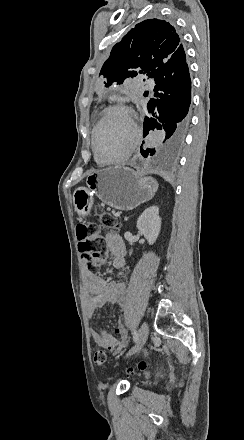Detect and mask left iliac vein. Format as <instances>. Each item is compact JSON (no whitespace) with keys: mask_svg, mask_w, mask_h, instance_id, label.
<instances>
[{"mask_svg":"<svg viewBox=\"0 0 244 440\" xmlns=\"http://www.w3.org/2000/svg\"><path fill=\"white\" fill-rule=\"evenodd\" d=\"M148 332L149 329L147 324L143 323L139 329L138 339L135 345L127 352V356L133 355L142 349L148 338Z\"/></svg>","mask_w":244,"mask_h":440,"instance_id":"left-iliac-vein-1","label":"left iliac vein"}]
</instances>
